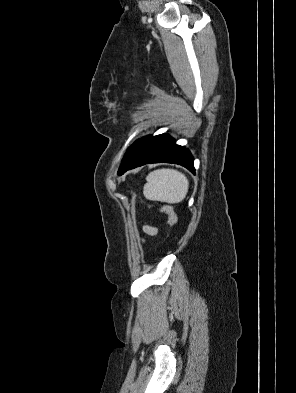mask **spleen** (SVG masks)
I'll list each match as a JSON object with an SVG mask.
<instances>
[{
  "instance_id": "obj_1",
  "label": "spleen",
  "mask_w": 296,
  "mask_h": 393,
  "mask_svg": "<svg viewBox=\"0 0 296 393\" xmlns=\"http://www.w3.org/2000/svg\"><path fill=\"white\" fill-rule=\"evenodd\" d=\"M143 194L148 200L176 204L184 200L189 188L187 177L174 169H157L146 177Z\"/></svg>"
}]
</instances>
